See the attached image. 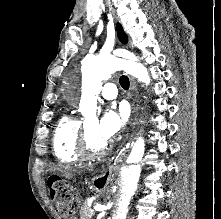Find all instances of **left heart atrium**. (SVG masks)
<instances>
[{
    "instance_id": "left-heart-atrium-1",
    "label": "left heart atrium",
    "mask_w": 221,
    "mask_h": 219,
    "mask_svg": "<svg viewBox=\"0 0 221 219\" xmlns=\"http://www.w3.org/2000/svg\"><path fill=\"white\" fill-rule=\"evenodd\" d=\"M128 118L127 110L109 108L96 125V133L105 142L111 140L124 126Z\"/></svg>"
}]
</instances>
